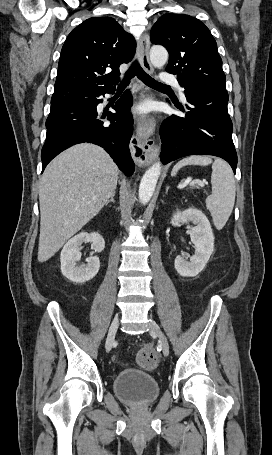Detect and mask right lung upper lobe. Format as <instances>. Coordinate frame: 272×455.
<instances>
[{"mask_svg":"<svg viewBox=\"0 0 272 455\" xmlns=\"http://www.w3.org/2000/svg\"><path fill=\"white\" fill-rule=\"evenodd\" d=\"M135 49L134 38L115 19L85 20L68 35L62 47L51 104L115 87L119 66L131 61Z\"/></svg>","mask_w":272,"mask_h":455,"instance_id":"obj_1","label":"right lung upper lobe"}]
</instances>
